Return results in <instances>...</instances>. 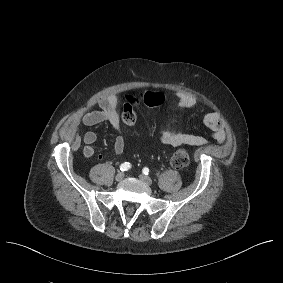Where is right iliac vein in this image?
<instances>
[{
  "instance_id": "1",
  "label": "right iliac vein",
  "mask_w": 283,
  "mask_h": 283,
  "mask_svg": "<svg viewBox=\"0 0 283 283\" xmlns=\"http://www.w3.org/2000/svg\"><path fill=\"white\" fill-rule=\"evenodd\" d=\"M123 178H124L123 172H120L115 176L116 181H121Z\"/></svg>"
}]
</instances>
